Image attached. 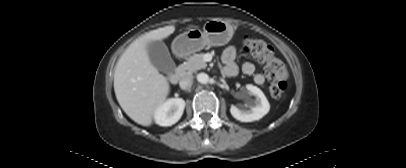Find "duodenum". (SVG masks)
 <instances>
[{
  "label": "duodenum",
  "mask_w": 406,
  "mask_h": 168,
  "mask_svg": "<svg viewBox=\"0 0 406 168\" xmlns=\"http://www.w3.org/2000/svg\"><path fill=\"white\" fill-rule=\"evenodd\" d=\"M181 72L178 69H173L168 72L167 77L172 83H177L179 81Z\"/></svg>",
  "instance_id": "1"
}]
</instances>
